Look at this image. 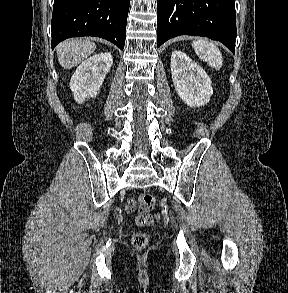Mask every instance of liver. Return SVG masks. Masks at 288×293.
I'll use <instances>...</instances> for the list:
<instances>
[{
	"mask_svg": "<svg viewBox=\"0 0 288 293\" xmlns=\"http://www.w3.org/2000/svg\"><path fill=\"white\" fill-rule=\"evenodd\" d=\"M95 49V43L89 39H69L56 47L58 61L65 69L77 66L87 59Z\"/></svg>",
	"mask_w": 288,
	"mask_h": 293,
	"instance_id": "obj_1",
	"label": "liver"
}]
</instances>
